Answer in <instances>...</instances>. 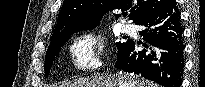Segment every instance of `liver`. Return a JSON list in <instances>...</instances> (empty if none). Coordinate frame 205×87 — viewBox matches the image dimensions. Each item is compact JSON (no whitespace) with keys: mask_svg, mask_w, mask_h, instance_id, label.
I'll list each match as a JSON object with an SVG mask.
<instances>
[{"mask_svg":"<svg viewBox=\"0 0 205 87\" xmlns=\"http://www.w3.org/2000/svg\"><path fill=\"white\" fill-rule=\"evenodd\" d=\"M58 87H157V85L129 75H96L77 78Z\"/></svg>","mask_w":205,"mask_h":87,"instance_id":"6515ba94","label":"liver"}]
</instances>
